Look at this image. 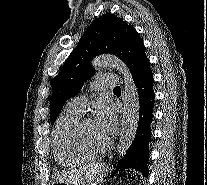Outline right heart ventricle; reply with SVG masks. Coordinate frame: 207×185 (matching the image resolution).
Listing matches in <instances>:
<instances>
[{
  "instance_id": "obj_1",
  "label": "right heart ventricle",
  "mask_w": 207,
  "mask_h": 185,
  "mask_svg": "<svg viewBox=\"0 0 207 185\" xmlns=\"http://www.w3.org/2000/svg\"><path fill=\"white\" fill-rule=\"evenodd\" d=\"M80 115L70 111H64L56 122L52 144L56 158L60 163L77 165L91 160L94 156L83 150L75 136Z\"/></svg>"
}]
</instances>
